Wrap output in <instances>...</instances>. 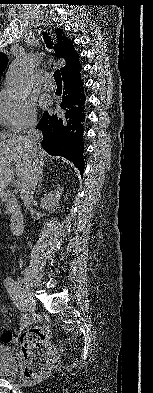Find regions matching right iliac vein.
<instances>
[{"label": "right iliac vein", "instance_id": "63e3f726", "mask_svg": "<svg viewBox=\"0 0 153 393\" xmlns=\"http://www.w3.org/2000/svg\"><path fill=\"white\" fill-rule=\"evenodd\" d=\"M19 282L21 283V293L23 295V297L25 298V305L23 306V309H29V310H33L36 306V301L33 297L32 291L29 287V285L22 280V278L19 279ZM23 310V311H24Z\"/></svg>", "mask_w": 153, "mask_h": 393}]
</instances>
